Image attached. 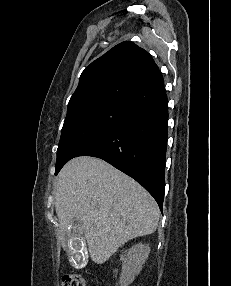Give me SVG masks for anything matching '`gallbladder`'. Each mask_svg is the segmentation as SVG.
Returning <instances> with one entry per match:
<instances>
[{
  "label": "gallbladder",
  "mask_w": 231,
  "mask_h": 286,
  "mask_svg": "<svg viewBox=\"0 0 231 286\" xmlns=\"http://www.w3.org/2000/svg\"><path fill=\"white\" fill-rule=\"evenodd\" d=\"M66 233L68 238L65 243L67 245V258L73 268L81 269L88 263V250L86 248V241L82 235V230H85L84 222L79 217L74 216L70 220V223L66 224Z\"/></svg>",
  "instance_id": "bac80fb5"
}]
</instances>
